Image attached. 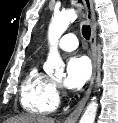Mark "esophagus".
<instances>
[{"instance_id":"esophagus-1","label":"esophagus","mask_w":118,"mask_h":123,"mask_svg":"<svg viewBox=\"0 0 118 123\" xmlns=\"http://www.w3.org/2000/svg\"><path fill=\"white\" fill-rule=\"evenodd\" d=\"M85 9H86V17L88 22L91 26V58H92V64H93V72L92 77L90 80L89 87L87 91L85 92L83 98L80 100L76 108L72 111V113L66 118L64 121L65 123H75L77 122L82 110L84 109V106L90 96L94 80L96 77V70H97V46H96V19H95V12H94V5L92 0H83Z\"/></svg>"}]
</instances>
